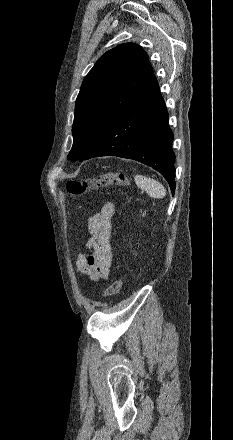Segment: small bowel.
Instances as JSON below:
<instances>
[{"mask_svg": "<svg viewBox=\"0 0 233 440\" xmlns=\"http://www.w3.org/2000/svg\"><path fill=\"white\" fill-rule=\"evenodd\" d=\"M115 212L113 202H107L101 210L90 216L87 227L90 238L86 243L92 253H79L76 257L77 270L92 280L107 279L114 252L111 243L112 217Z\"/></svg>", "mask_w": 233, "mask_h": 440, "instance_id": "1", "label": "small bowel"}]
</instances>
